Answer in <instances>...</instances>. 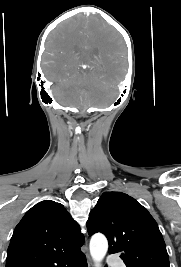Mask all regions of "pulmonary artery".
Wrapping results in <instances>:
<instances>
[{
  "mask_svg": "<svg viewBox=\"0 0 181 267\" xmlns=\"http://www.w3.org/2000/svg\"><path fill=\"white\" fill-rule=\"evenodd\" d=\"M108 264L109 265H115L116 267H124L122 261H120L119 259H116L114 257H109Z\"/></svg>",
  "mask_w": 181,
  "mask_h": 267,
  "instance_id": "1",
  "label": "pulmonary artery"
}]
</instances>
